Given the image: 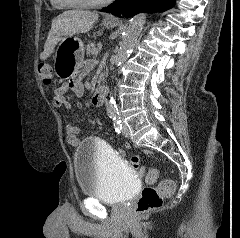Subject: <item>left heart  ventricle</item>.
Wrapping results in <instances>:
<instances>
[{
	"label": "left heart ventricle",
	"instance_id": "obj_1",
	"mask_svg": "<svg viewBox=\"0 0 240 238\" xmlns=\"http://www.w3.org/2000/svg\"><path fill=\"white\" fill-rule=\"evenodd\" d=\"M68 1H77V2H97V1H101V0H68Z\"/></svg>",
	"mask_w": 240,
	"mask_h": 238
}]
</instances>
